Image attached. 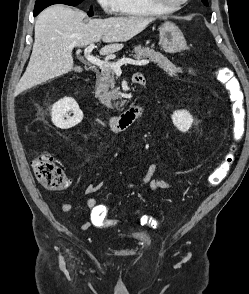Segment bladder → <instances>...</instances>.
Listing matches in <instances>:
<instances>
[{"instance_id": "bladder-1", "label": "bladder", "mask_w": 249, "mask_h": 294, "mask_svg": "<svg viewBox=\"0 0 249 294\" xmlns=\"http://www.w3.org/2000/svg\"><path fill=\"white\" fill-rule=\"evenodd\" d=\"M131 238L135 242H143L147 239V235L144 232L137 231L131 234Z\"/></svg>"}]
</instances>
